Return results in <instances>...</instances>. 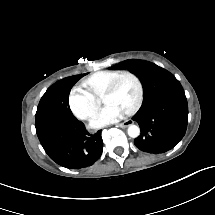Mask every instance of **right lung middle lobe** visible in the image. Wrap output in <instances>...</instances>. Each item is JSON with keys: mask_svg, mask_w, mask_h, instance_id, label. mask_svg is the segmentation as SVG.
I'll return each instance as SVG.
<instances>
[{"mask_svg": "<svg viewBox=\"0 0 215 215\" xmlns=\"http://www.w3.org/2000/svg\"><path fill=\"white\" fill-rule=\"evenodd\" d=\"M83 76L76 75L64 78L46 91L37 107L35 125L58 121H78L69 109V92Z\"/></svg>", "mask_w": 215, "mask_h": 215, "instance_id": "obj_1", "label": "right lung middle lobe"}]
</instances>
